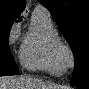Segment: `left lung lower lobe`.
I'll list each match as a JSON object with an SVG mask.
<instances>
[{"mask_svg": "<svg viewBox=\"0 0 89 89\" xmlns=\"http://www.w3.org/2000/svg\"><path fill=\"white\" fill-rule=\"evenodd\" d=\"M77 87L80 89H89L87 85H78Z\"/></svg>", "mask_w": 89, "mask_h": 89, "instance_id": "0a47b994", "label": "left lung lower lobe"}]
</instances>
